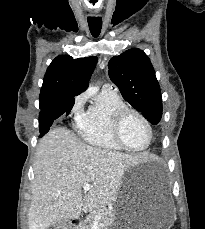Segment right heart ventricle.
Segmentation results:
<instances>
[{
    "mask_svg": "<svg viewBox=\"0 0 205 229\" xmlns=\"http://www.w3.org/2000/svg\"><path fill=\"white\" fill-rule=\"evenodd\" d=\"M126 104L117 91L103 88L77 122L81 138L93 147L105 150L124 149L112 134V118L115 111Z\"/></svg>",
    "mask_w": 205,
    "mask_h": 229,
    "instance_id": "right-heart-ventricle-1",
    "label": "right heart ventricle"
}]
</instances>
